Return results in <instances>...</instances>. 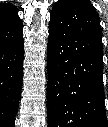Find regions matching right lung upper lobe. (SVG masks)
Segmentation results:
<instances>
[{"instance_id":"1","label":"right lung upper lobe","mask_w":108,"mask_h":127,"mask_svg":"<svg viewBox=\"0 0 108 127\" xmlns=\"http://www.w3.org/2000/svg\"><path fill=\"white\" fill-rule=\"evenodd\" d=\"M17 8L11 3L0 4V23L15 20L18 17Z\"/></svg>"}]
</instances>
